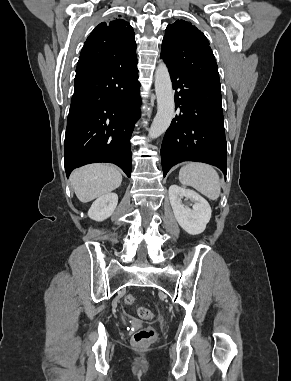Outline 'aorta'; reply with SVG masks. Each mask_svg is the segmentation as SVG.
I'll return each instance as SVG.
<instances>
[{
	"mask_svg": "<svg viewBox=\"0 0 291 381\" xmlns=\"http://www.w3.org/2000/svg\"><path fill=\"white\" fill-rule=\"evenodd\" d=\"M155 91L157 96V114L149 129V137L155 139L170 126L174 117V94L168 69L160 62L155 71Z\"/></svg>",
	"mask_w": 291,
	"mask_h": 381,
	"instance_id": "aorta-1",
	"label": "aorta"
}]
</instances>
